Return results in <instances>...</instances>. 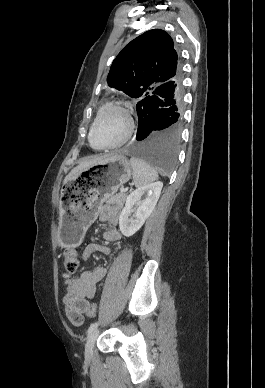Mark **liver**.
<instances>
[{
    "label": "liver",
    "instance_id": "liver-1",
    "mask_svg": "<svg viewBox=\"0 0 265 388\" xmlns=\"http://www.w3.org/2000/svg\"><path fill=\"white\" fill-rule=\"evenodd\" d=\"M108 156H116V154H105V156H101V158H95V160H87V162H81V164H79V166H76V168H73V170H71L70 174H68V176H66V178L64 180V184H67V182H69V180H72L73 176H78V174H80V172H84V170H88V168H92V166H96V164H98V162H101V160H103V158H108Z\"/></svg>",
    "mask_w": 265,
    "mask_h": 388
}]
</instances>
